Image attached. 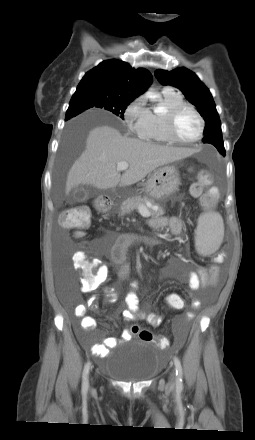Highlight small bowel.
Here are the masks:
<instances>
[{"instance_id":"obj_1","label":"small bowel","mask_w":255,"mask_h":440,"mask_svg":"<svg viewBox=\"0 0 255 440\" xmlns=\"http://www.w3.org/2000/svg\"><path fill=\"white\" fill-rule=\"evenodd\" d=\"M149 225L154 229H162L164 227H169L171 233L174 236H179L183 230V221L180 217L174 216L170 219L165 217H156L150 220ZM159 239L151 236H137L134 234H121L116 237L115 243L112 247L110 258L117 269V273L120 279L126 280L130 274V266L127 262V250L132 244L144 243L147 245H155L159 243ZM99 267V273L96 279V285L105 281L108 277V269L105 264L98 261H94ZM219 279V270L216 264H213L209 269L204 267H199L196 271H190L187 274L189 296L192 299L193 306L197 307L199 305L198 300L192 295L193 291L201 288H206L209 285L217 284ZM131 291L125 295V303L127 309L123 312L124 319L127 322H133L136 319H142L147 321L152 326H159L162 322V317L160 314L151 312L144 313L140 311V300L135 290L138 287L136 281L131 282ZM84 292H89L91 290H86L81 288ZM106 294L110 300H113L117 293L113 288H106ZM165 298H183L178 293H169ZM90 306L94 307V298L90 300ZM88 307L86 305H77L74 308L75 317L80 319V327L84 332L92 331L96 327V320L87 315ZM193 313L186 312L183 315L185 321H189L193 318ZM131 338V333L129 331H124L120 338L107 337L102 343L93 344L89 346L90 352L100 358L107 357L109 355L110 349L119 345L122 341H127ZM80 341L88 346V340L80 336ZM181 339H179V343ZM160 347V346H159Z\"/></svg>"}]
</instances>
